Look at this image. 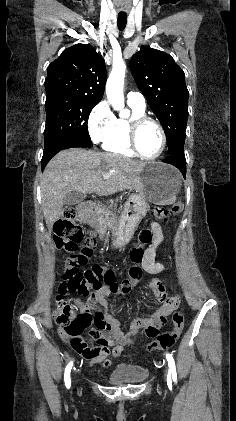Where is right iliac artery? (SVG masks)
Masks as SVG:
<instances>
[{
  "label": "right iliac artery",
  "mask_w": 236,
  "mask_h": 421,
  "mask_svg": "<svg viewBox=\"0 0 236 421\" xmlns=\"http://www.w3.org/2000/svg\"><path fill=\"white\" fill-rule=\"evenodd\" d=\"M72 366H73V361L68 363V365L65 368V373H64V381L68 389L71 386L70 372H71Z\"/></svg>",
  "instance_id": "right-iliac-artery-1"
}]
</instances>
